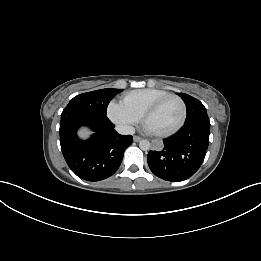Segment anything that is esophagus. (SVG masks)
<instances>
[{
  "label": "esophagus",
  "instance_id": "obj_1",
  "mask_svg": "<svg viewBox=\"0 0 261 261\" xmlns=\"http://www.w3.org/2000/svg\"><path fill=\"white\" fill-rule=\"evenodd\" d=\"M133 140H134L135 142H139V141L142 140V138H141L140 136L135 135V136L133 137Z\"/></svg>",
  "mask_w": 261,
  "mask_h": 261
}]
</instances>
